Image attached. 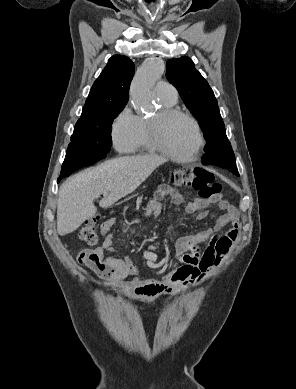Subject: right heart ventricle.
Instances as JSON below:
<instances>
[{
    "mask_svg": "<svg viewBox=\"0 0 296 389\" xmlns=\"http://www.w3.org/2000/svg\"><path fill=\"white\" fill-rule=\"evenodd\" d=\"M164 107H174L176 101L160 98ZM154 148L151 145L148 133V119L139 117L138 134L132 152L134 153H152Z\"/></svg>",
    "mask_w": 296,
    "mask_h": 389,
    "instance_id": "obj_1",
    "label": "right heart ventricle"
}]
</instances>
